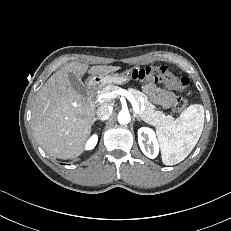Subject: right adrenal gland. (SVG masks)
Segmentation results:
<instances>
[{
  "label": "right adrenal gland",
  "instance_id": "1",
  "mask_svg": "<svg viewBox=\"0 0 231 231\" xmlns=\"http://www.w3.org/2000/svg\"><path fill=\"white\" fill-rule=\"evenodd\" d=\"M98 120H99L98 118H94L93 119V124H94L95 121H98Z\"/></svg>",
  "mask_w": 231,
  "mask_h": 231
}]
</instances>
